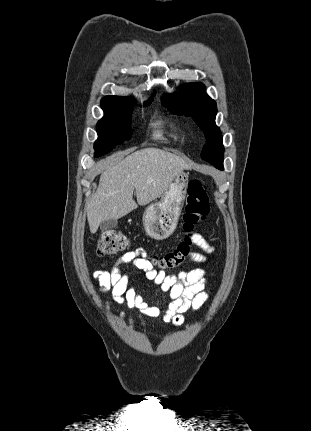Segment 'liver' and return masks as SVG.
<instances>
[{
  "instance_id": "6515ba94",
  "label": "liver",
  "mask_w": 311,
  "mask_h": 431,
  "mask_svg": "<svg viewBox=\"0 0 311 431\" xmlns=\"http://www.w3.org/2000/svg\"><path fill=\"white\" fill-rule=\"evenodd\" d=\"M191 170L180 156L157 148H144L112 164L100 176L99 186L87 208L91 233L105 219L127 216L138 206H147L160 198L176 176ZM136 192L137 202L133 200Z\"/></svg>"
}]
</instances>
